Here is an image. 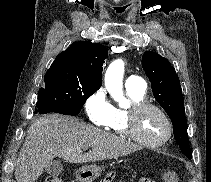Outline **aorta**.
Returning <instances> with one entry per match:
<instances>
[{
	"label": "aorta",
	"mask_w": 211,
	"mask_h": 182,
	"mask_svg": "<svg viewBox=\"0 0 211 182\" xmlns=\"http://www.w3.org/2000/svg\"><path fill=\"white\" fill-rule=\"evenodd\" d=\"M124 63L122 60L113 61L105 73V87L110 96L123 105L126 102L123 93Z\"/></svg>",
	"instance_id": "aorta-1"
}]
</instances>
